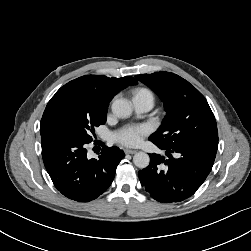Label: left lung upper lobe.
Wrapping results in <instances>:
<instances>
[{"label": "left lung upper lobe", "instance_id": "5c2ea615", "mask_svg": "<svg viewBox=\"0 0 251 251\" xmlns=\"http://www.w3.org/2000/svg\"><path fill=\"white\" fill-rule=\"evenodd\" d=\"M135 77L159 95L167 112L150 141L165 148L193 141L218 142L214 114L205 97L188 81L170 72Z\"/></svg>", "mask_w": 251, "mask_h": 251}]
</instances>
